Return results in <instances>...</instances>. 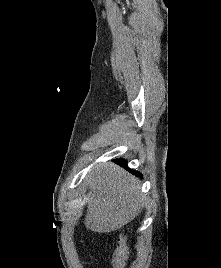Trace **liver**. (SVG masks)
<instances>
[{
    "label": "liver",
    "mask_w": 221,
    "mask_h": 268,
    "mask_svg": "<svg viewBox=\"0 0 221 268\" xmlns=\"http://www.w3.org/2000/svg\"><path fill=\"white\" fill-rule=\"evenodd\" d=\"M89 188L85 225L107 233L131 222L144 207L137 179L112 163L96 166L87 175Z\"/></svg>",
    "instance_id": "liver-1"
}]
</instances>
